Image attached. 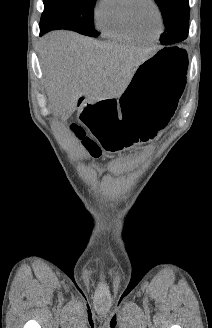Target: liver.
<instances>
[{"label": "liver", "mask_w": 212, "mask_h": 328, "mask_svg": "<svg viewBox=\"0 0 212 328\" xmlns=\"http://www.w3.org/2000/svg\"><path fill=\"white\" fill-rule=\"evenodd\" d=\"M41 64L50 108L67 120L81 96L91 101L119 98L152 49L97 41L67 31L42 40Z\"/></svg>", "instance_id": "1"}]
</instances>
